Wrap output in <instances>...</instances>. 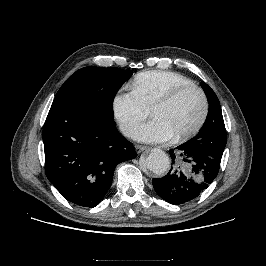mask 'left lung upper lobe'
Masks as SVG:
<instances>
[{
	"label": "left lung upper lobe",
	"mask_w": 266,
	"mask_h": 266,
	"mask_svg": "<svg viewBox=\"0 0 266 266\" xmlns=\"http://www.w3.org/2000/svg\"><path fill=\"white\" fill-rule=\"evenodd\" d=\"M200 84L208 98V115L199 133L184 144L192 150L221 159L226 146V130L221 106L210 86L205 82Z\"/></svg>",
	"instance_id": "5c2ea615"
}]
</instances>
